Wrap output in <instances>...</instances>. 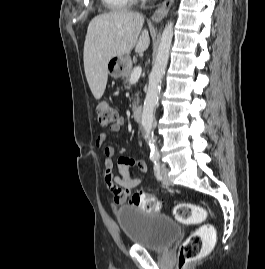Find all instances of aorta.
Segmentation results:
<instances>
[{
	"mask_svg": "<svg viewBox=\"0 0 265 269\" xmlns=\"http://www.w3.org/2000/svg\"><path fill=\"white\" fill-rule=\"evenodd\" d=\"M173 38V22L165 26L162 33L154 66L149 75V85L143 105L141 125L144 130V138L150 146L151 155L158 157L159 152L155 146V139L152 133L154 112L158 101L162 78L165 74Z\"/></svg>",
	"mask_w": 265,
	"mask_h": 269,
	"instance_id": "1",
	"label": "aorta"
}]
</instances>
